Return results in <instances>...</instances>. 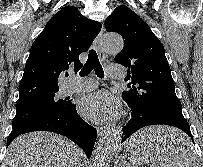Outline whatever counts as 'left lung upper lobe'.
Instances as JSON below:
<instances>
[{
  "mask_svg": "<svg viewBox=\"0 0 203 167\" xmlns=\"http://www.w3.org/2000/svg\"><path fill=\"white\" fill-rule=\"evenodd\" d=\"M105 28L124 39V48L115 62L127 67V79H132L122 92L130 108L147 115L181 110L164 47L150 27L135 12L121 5L105 20Z\"/></svg>",
  "mask_w": 203,
  "mask_h": 167,
  "instance_id": "5c2ea615",
  "label": "left lung upper lobe"
}]
</instances>
